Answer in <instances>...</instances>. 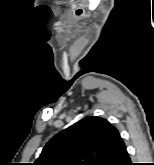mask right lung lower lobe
Masks as SVG:
<instances>
[{
  "instance_id": "obj_1",
  "label": "right lung lower lobe",
  "mask_w": 154,
  "mask_h": 165,
  "mask_svg": "<svg viewBox=\"0 0 154 165\" xmlns=\"http://www.w3.org/2000/svg\"><path fill=\"white\" fill-rule=\"evenodd\" d=\"M105 165H132L122 139L115 146V152Z\"/></svg>"
}]
</instances>
